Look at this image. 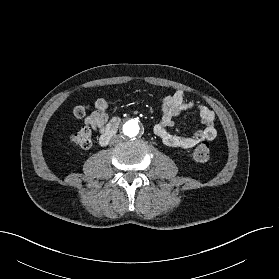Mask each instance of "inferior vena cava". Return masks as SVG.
I'll return each instance as SVG.
<instances>
[{
	"label": "inferior vena cava",
	"mask_w": 279,
	"mask_h": 279,
	"mask_svg": "<svg viewBox=\"0 0 279 279\" xmlns=\"http://www.w3.org/2000/svg\"><path fill=\"white\" fill-rule=\"evenodd\" d=\"M123 141L122 137L120 135H115L112 139H111V144H120Z\"/></svg>",
	"instance_id": "obj_1"
}]
</instances>
